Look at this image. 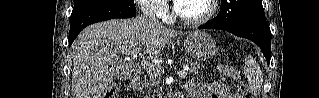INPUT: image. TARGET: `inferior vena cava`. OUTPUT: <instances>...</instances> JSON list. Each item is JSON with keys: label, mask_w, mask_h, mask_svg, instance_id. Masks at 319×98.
Here are the masks:
<instances>
[{"label": "inferior vena cava", "mask_w": 319, "mask_h": 98, "mask_svg": "<svg viewBox=\"0 0 319 98\" xmlns=\"http://www.w3.org/2000/svg\"><path fill=\"white\" fill-rule=\"evenodd\" d=\"M144 12H143V16L142 19L146 22H149L151 24H155V25H162L158 18L155 16L154 12L152 9L148 8V7H143Z\"/></svg>", "instance_id": "inferior-vena-cava-1"}]
</instances>
